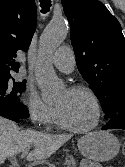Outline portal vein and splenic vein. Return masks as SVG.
Returning <instances> with one entry per match:
<instances>
[{
    "mask_svg": "<svg viewBox=\"0 0 125 167\" xmlns=\"http://www.w3.org/2000/svg\"><path fill=\"white\" fill-rule=\"evenodd\" d=\"M29 153V148L25 149L22 151V154H21V158L25 157L27 154ZM70 164V161L69 160H66L64 162V165L65 166H68Z\"/></svg>",
    "mask_w": 125,
    "mask_h": 167,
    "instance_id": "obj_1",
    "label": "portal vein and splenic vein"
}]
</instances>
